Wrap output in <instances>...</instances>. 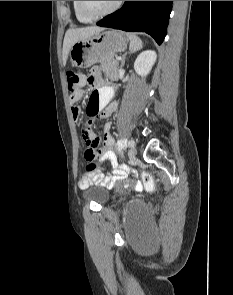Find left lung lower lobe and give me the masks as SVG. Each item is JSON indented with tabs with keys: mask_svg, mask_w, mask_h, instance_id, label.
I'll list each match as a JSON object with an SVG mask.
<instances>
[{
	"mask_svg": "<svg viewBox=\"0 0 233 295\" xmlns=\"http://www.w3.org/2000/svg\"><path fill=\"white\" fill-rule=\"evenodd\" d=\"M173 1H125L122 8L97 25L124 31L146 32L160 45L166 36Z\"/></svg>",
	"mask_w": 233,
	"mask_h": 295,
	"instance_id": "obj_1",
	"label": "left lung lower lobe"
}]
</instances>
